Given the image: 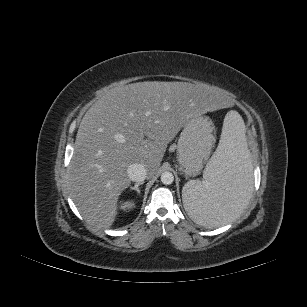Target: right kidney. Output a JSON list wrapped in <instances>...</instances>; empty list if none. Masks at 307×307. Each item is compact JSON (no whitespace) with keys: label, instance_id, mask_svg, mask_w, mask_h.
<instances>
[{"label":"right kidney","instance_id":"obj_1","mask_svg":"<svg viewBox=\"0 0 307 307\" xmlns=\"http://www.w3.org/2000/svg\"><path fill=\"white\" fill-rule=\"evenodd\" d=\"M134 206H135L134 202L127 201V202H124L122 204L121 209H123L124 211L130 210V209L134 208Z\"/></svg>","mask_w":307,"mask_h":307}]
</instances>
